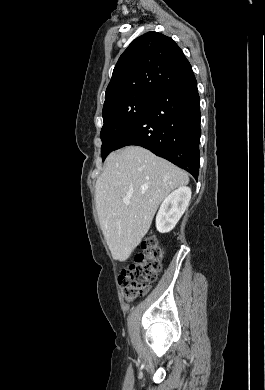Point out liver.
<instances>
[{
	"label": "liver",
	"mask_w": 265,
	"mask_h": 390,
	"mask_svg": "<svg viewBox=\"0 0 265 390\" xmlns=\"http://www.w3.org/2000/svg\"><path fill=\"white\" fill-rule=\"evenodd\" d=\"M188 183L186 172L143 147L112 152L95 185L96 209L112 257L126 261L147 234L161 201Z\"/></svg>",
	"instance_id": "liver-1"
}]
</instances>
